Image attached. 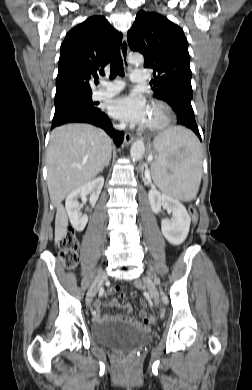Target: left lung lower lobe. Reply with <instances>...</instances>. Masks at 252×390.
Returning a JSON list of instances; mask_svg holds the SVG:
<instances>
[{
  "label": "left lung lower lobe",
  "instance_id": "0a47b994",
  "mask_svg": "<svg viewBox=\"0 0 252 390\" xmlns=\"http://www.w3.org/2000/svg\"><path fill=\"white\" fill-rule=\"evenodd\" d=\"M170 106L172 107L177 116V124L193 130L201 140L191 102L186 100H176Z\"/></svg>",
  "mask_w": 252,
  "mask_h": 390
}]
</instances>
